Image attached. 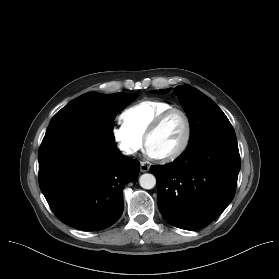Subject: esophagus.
I'll use <instances>...</instances> for the list:
<instances>
[{"label": "esophagus", "mask_w": 279, "mask_h": 279, "mask_svg": "<svg viewBox=\"0 0 279 279\" xmlns=\"http://www.w3.org/2000/svg\"><path fill=\"white\" fill-rule=\"evenodd\" d=\"M150 166L146 162H141L140 164V171L141 172H147L149 171Z\"/></svg>", "instance_id": "34e87169"}]
</instances>
